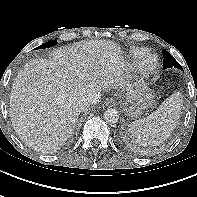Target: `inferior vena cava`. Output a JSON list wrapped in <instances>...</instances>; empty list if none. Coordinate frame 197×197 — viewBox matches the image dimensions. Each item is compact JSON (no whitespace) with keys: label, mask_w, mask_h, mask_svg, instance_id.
<instances>
[{"label":"inferior vena cava","mask_w":197,"mask_h":197,"mask_svg":"<svg viewBox=\"0 0 197 197\" xmlns=\"http://www.w3.org/2000/svg\"><path fill=\"white\" fill-rule=\"evenodd\" d=\"M100 97H101L100 93H96V92L89 93L81 100V103H80L81 109H85L86 107L90 105L97 104L99 102Z\"/></svg>","instance_id":"obj_1"}]
</instances>
